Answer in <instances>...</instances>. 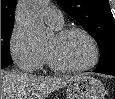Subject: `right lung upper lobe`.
<instances>
[{"instance_id": "right-lung-upper-lobe-1", "label": "right lung upper lobe", "mask_w": 115, "mask_h": 99, "mask_svg": "<svg viewBox=\"0 0 115 99\" xmlns=\"http://www.w3.org/2000/svg\"><path fill=\"white\" fill-rule=\"evenodd\" d=\"M17 0H1V27L14 26V10Z\"/></svg>"}]
</instances>
